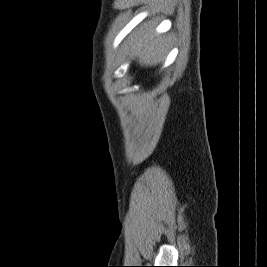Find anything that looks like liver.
<instances>
[{"mask_svg": "<svg viewBox=\"0 0 267 267\" xmlns=\"http://www.w3.org/2000/svg\"><path fill=\"white\" fill-rule=\"evenodd\" d=\"M152 32L150 25L146 31L131 39L130 54L137 55L141 65H155L164 58L166 53L165 40L161 36L152 38Z\"/></svg>", "mask_w": 267, "mask_h": 267, "instance_id": "6515ba94", "label": "liver"}]
</instances>
